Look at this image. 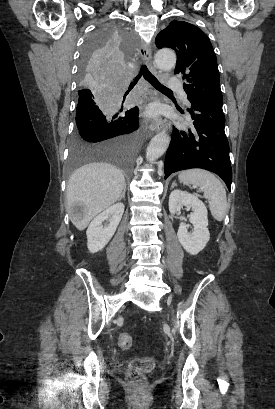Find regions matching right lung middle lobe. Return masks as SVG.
I'll return each mask as SVG.
<instances>
[{"instance_id": "dd1d6c3e", "label": "right lung middle lobe", "mask_w": 275, "mask_h": 409, "mask_svg": "<svg viewBox=\"0 0 275 409\" xmlns=\"http://www.w3.org/2000/svg\"><path fill=\"white\" fill-rule=\"evenodd\" d=\"M136 43L122 24H98L86 41L84 57H79L76 78L79 98L70 155L65 165L67 178H74L77 167L113 163L130 176L142 137L138 108L130 109L127 96L112 91L126 90L129 51Z\"/></svg>"}]
</instances>
